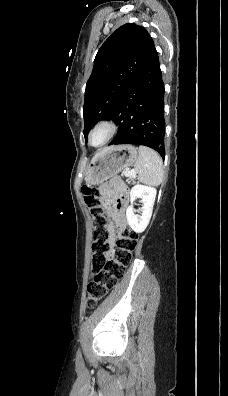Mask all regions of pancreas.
Instances as JSON below:
<instances>
[{"label":"pancreas","mask_w":228,"mask_h":396,"mask_svg":"<svg viewBox=\"0 0 228 396\" xmlns=\"http://www.w3.org/2000/svg\"><path fill=\"white\" fill-rule=\"evenodd\" d=\"M123 176H125V171L122 173ZM128 183H131L130 179H127Z\"/></svg>","instance_id":"cf45deb5"}]
</instances>
